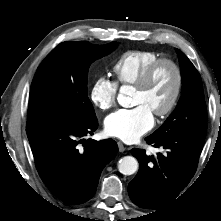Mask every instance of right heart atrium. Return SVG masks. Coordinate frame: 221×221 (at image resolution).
<instances>
[{
	"label": "right heart atrium",
	"instance_id": "right-heart-atrium-1",
	"mask_svg": "<svg viewBox=\"0 0 221 221\" xmlns=\"http://www.w3.org/2000/svg\"><path fill=\"white\" fill-rule=\"evenodd\" d=\"M117 85L105 76L98 77L92 84L89 99L100 111H107L115 105Z\"/></svg>",
	"mask_w": 221,
	"mask_h": 221
}]
</instances>
